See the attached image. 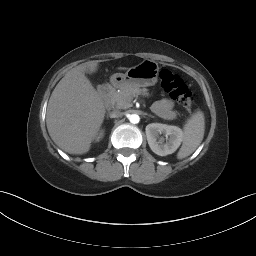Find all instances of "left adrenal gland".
Segmentation results:
<instances>
[{
  "instance_id": "obj_1",
  "label": "left adrenal gland",
  "mask_w": 256,
  "mask_h": 256,
  "mask_svg": "<svg viewBox=\"0 0 256 256\" xmlns=\"http://www.w3.org/2000/svg\"><path fill=\"white\" fill-rule=\"evenodd\" d=\"M149 117H151V118H154V116H152V115H148Z\"/></svg>"
}]
</instances>
